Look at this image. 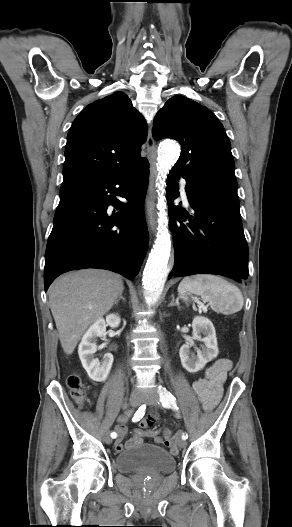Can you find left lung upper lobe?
I'll return each instance as SVG.
<instances>
[{"mask_svg":"<svg viewBox=\"0 0 292 527\" xmlns=\"http://www.w3.org/2000/svg\"><path fill=\"white\" fill-rule=\"evenodd\" d=\"M153 137L172 138L181 155L171 170L186 184L237 195L231 144L223 125L206 107L184 96H173L154 118Z\"/></svg>","mask_w":292,"mask_h":527,"instance_id":"5c2ea615","label":"left lung upper lobe"}]
</instances>
